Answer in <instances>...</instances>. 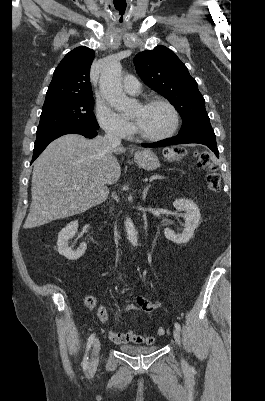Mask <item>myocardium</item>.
I'll return each instance as SVG.
<instances>
[{"label": "myocardium", "mask_w": 265, "mask_h": 401, "mask_svg": "<svg viewBox=\"0 0 265 401\" xmlns=\"http://www.w3.org/2000/svg\"><path fill=\"white\" fill-rule=\"evenodd\" d=\"M155 104L163 105L171 112L172 119H173L172 125L170 126L169 129H167L166 131H164L158 135H139V137L143 140H147V141L162 140L164 138H167V137L173 135L179 127V123H180L179 112L177 111L175 106L172 105L169 101H167L165 99H161V98H153V99H148V100L144 101L142 105L147 107V106H151V105H155ZM133 125L135 128V131L138 133L136 124L134 123Z\"/></svg>", "instance_id": "f54148a6"}]
</instances>
